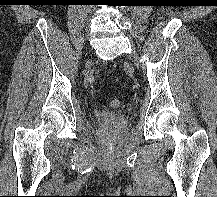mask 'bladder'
I'll use <instances>...</instances> for the list:
<instances>
[{"label": "bladder", "mask_w": 217, "mask_h": 197, "mask_svg": "<svg viewBox=\"0 0 217 197\" xmlns=\"http://www.w3.org/2000/svg\"><path fill=\"white\" fill-rule=\"evenodd\" d=\"M98 118L103 119V120H107L109 122H114L116 119V116L112 112L101 111L100 113H98Z\"/></svg>", "instance_id": "bladder-1"}]
</instances>
